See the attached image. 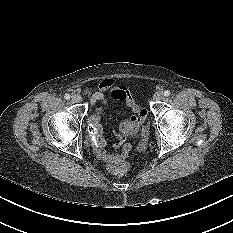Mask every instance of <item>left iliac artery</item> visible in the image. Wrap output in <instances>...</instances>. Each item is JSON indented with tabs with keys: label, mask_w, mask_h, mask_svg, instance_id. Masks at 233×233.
Instances as JSON below:
<instances>
[{
	"label": "left iliac artery",
	"mask_w": 233,
	"mask_h": 233,
	"mask_svg": "<svg viewBox=\"0 0 233 233\" xmlns=\"http://www.w3.org/2000/svg\"><path fill=\"white\" fill-rule=\"evenodd\" d=\"M170 95V91L169 90H165L164 91V96H169Z\"/></svg>",
	"instance_id": "44dca946"
}]
</instances>
